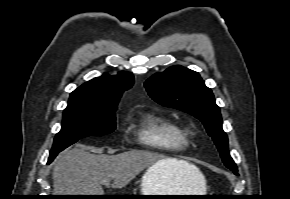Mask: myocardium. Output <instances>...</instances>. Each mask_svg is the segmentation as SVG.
Wrapping results in <instances>:
<instances>
[{
    "label": "myocardium",
    "instance_id": "f54148a6",
    "mask_svg": "<svg viewBox=\"0 0 290 199\" xmlns=\"http://www.w3.org/2000/svg\"><path fill=\"white\" fill-rule=\"evenodd\" d=\"M181 129L187 136L194 134V130L190 127H185Z\"/></svg>",
    "mask_w": 290,
    "mask_h": 199
}]
</instances>
